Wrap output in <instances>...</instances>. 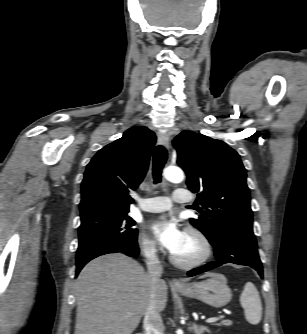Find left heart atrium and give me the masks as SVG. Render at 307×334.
<instances>
[{
    "label": "left heart atrium",
    "mask_w": 307,
    "mask_h": 334,
    "mask_svg": "<svg viewBox=\"0 0 307 334\" xmlns=\"http://www.w3.org/2000/svg\"><path fill=\"white\" fill-rule=\"evenodd\" d=\"M151 231L158 243L171 253L176 252L185 240L186 233L170 217H164L153 222Z\"/></svg>",
    "instance_id": "left-heart-atrium-1"
}]
</instances>
